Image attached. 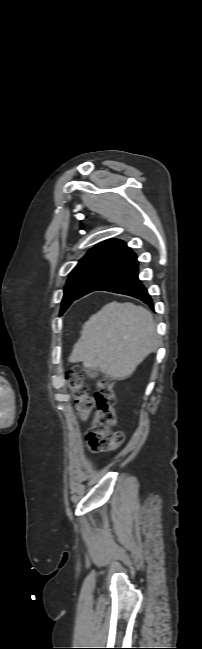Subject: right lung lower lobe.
<instances>
[{
    "label": "right lung lower lobe",
    "instance_id": "obj_1",
    "mask_svg": "<svg viewBox=\"0 0 202 649\" xmlns=\"http://www.w3.org/2000/svg\"><path fill=\"white\" fill-rule=\"evenodd\" d=\"M96 290L129 295L154 308L151 296L138 278V261L133 251L116 256L82 289L78 298ZM77 298V299H78Z\"/></svg>",
    "mask_w": 202,
    "mask_h": 649
}]
</instances>
